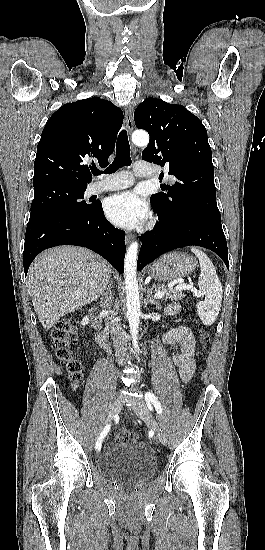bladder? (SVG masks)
<instances>
[{"instance_id":"bladder-1","label":"bladder","mask_w":265,"mask_h":550,"mask_svg":"<svg viewBox=\"0 0 265 550\" xmlns=\"http://www.w3.org/2000/svg\"><path fill=\"white\" fill-rule=\"evenodd\" d=\"M97 466L99 471L106 476L122 482L139 483L154 475L157 460L144 443H111L100 454Z\"/></svg>"}]
</instances>
